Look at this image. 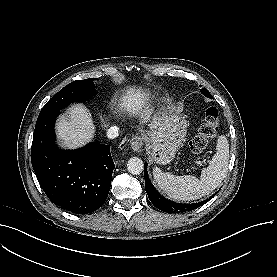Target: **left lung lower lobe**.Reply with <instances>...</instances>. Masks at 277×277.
Returning <instances> with one entry per match:
<instances>
[{
    "mask_svg": "<svg viewBox=\"0 0 277 277\" xmlns=\"http://www.w3.org/2000/svg\"><path fill=\"white\" fill-rule=\"evenodd\" d=\"M144 176H145V188L148 195L149 200L157 207L158 209L167 212V213H174V212H186L191 211L198 208L203 203L207 201H202L200 203L194 204H182L176 203L173 201H169L168 199L161 196L158 191L154 188L151 181L149 180L148 173H147V163L145 164L144 168Z\"/></svg>",
    "mask_w": 277,
    "mask_h": 277,
    "instance_id": "1",
    "label": "left lung lower lobe"
}]
</instances>
